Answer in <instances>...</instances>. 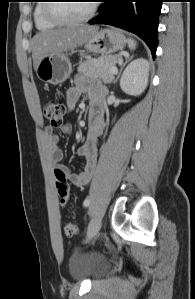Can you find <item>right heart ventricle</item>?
I'll use <instances>...</instances> for the list:
<instances>
[{
    "label": "right heart ventricle",
    "mask_w": 195,
    "mask_h": 299,
    "mask_svg": "<svg viewBox=\"0 0 195 299\" xmlns=\"http://www.w3.org/2000/svg\"><path fill=\"white\" fill-rule=\"evenodd\" d=\"M45 0H39L37 1L34 10H33V20L34 24L37 29L39 30H49L53 29L57 26V24L49 21L45 14H44V6H45Z\"/></svg>",
    "instance_id": "right-heart-ventricle-1"
}]
</instances>
